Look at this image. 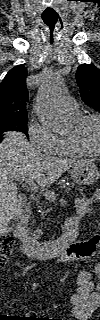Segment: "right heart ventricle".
<instances>
[{
    "mask_svg": "<svg viewBox=\"0 0 100 320\" xmlns=\"http://www.w3.org/2000/svg\"><path fill=\"white\" fill-rule=\"evenodd\" d=\"M71 120H76L78 118V114L76 115H68ZM53 154L59 156H70V157H80L84 156L85 153L75 147L67 138V135L57 136L56 144L52 151Z\"/></svg>",
    "mask_w": 100,
    "mask_h": 320,
    "instance_id": "e07e8e85",
    "label": "right heart ventricle"
}]
</instances>
